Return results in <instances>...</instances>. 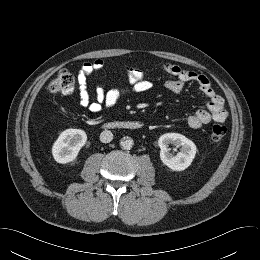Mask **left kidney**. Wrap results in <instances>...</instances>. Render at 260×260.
I'll return each instance as SVG.
<instances>
[{
	"label": "left kidney",
	"mask_w": 260,
	"mask_h": 260,
	"mask_svg": "<svg viewBox=\"0 0 260 260\" xmlns=\"http://www.w3.org/2000/svg\"><path fill=\"white\" fill-rule=\"evenodd\" d=\"M173 144L176 147H181V151L176 155L169 152L168 145ZM161 161L174 171H182L188 168L196 154V145L178 133L163 134L159 140Z\"/></svg>",
	"instance_id": "obj_1"
}]
</instances>
